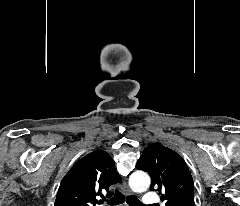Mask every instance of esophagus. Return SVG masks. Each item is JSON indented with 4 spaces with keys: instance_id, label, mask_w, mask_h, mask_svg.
<instances>
[{
    "instance_id": "obj_1",
    "label": "esophagus",
    "mask_w": 240,
    "mask_h": 206,
    "mask_svg": "<svg viewBox=\"0 0 240 206\" xmlns=\"http://www.w3.org/2000/svg\"><path fill=\"white\" fill-rule=\"evenodd\" d=\"M122 190H123L124 194L128 197H131L133 195V192L131 191L129 186L126 184V182H123Z\"/></svg>"
}]
</instances>
